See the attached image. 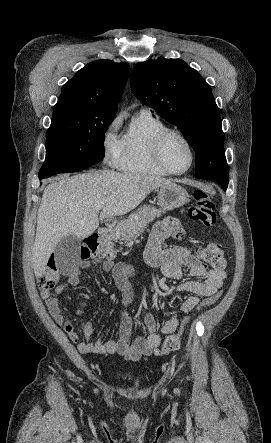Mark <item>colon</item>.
Wrapping results in <instances>:
<instances>
[{
    "mask_svg": "<svg viewBox=\"0 0 271 443\" xmlns=\"http://www.w3.org/2000/svg\"><path fill=\"white\" fill-rule=\"evenodd\" d=\"M195 204L189 209V218L202 224L204 227H212L216 222L215 204L212 197L203 190L194 192ZM114 252L106 240L98 237L89 238L81 249L83 259H102L113 257ZM201 258L213 269L223 271L226 266L225 252L221 245L216 242L209 243L201 248ZM59 279V269L54 258H51L46 268L38 276V288L42 291H50ZM221 297L217 292L203 300L198 309H204L215 304ZM189 318H184L178 332L169 335L162 347L155 351L158 356L167 355L180 348L181 338L185 331Z\"/></svg>",
    "mask_w": 271,
    "mask_h": 443,
    "instance_id": "obj_1",
    "label": "colon"
}]
</instances>
